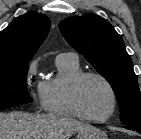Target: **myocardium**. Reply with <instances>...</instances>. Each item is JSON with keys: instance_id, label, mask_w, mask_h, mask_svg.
Listing matches in <instances>:
<instances>
[{"instance_id": "1", "label": "myocardium", "mask_w": 141, "mask_h": 139, "mask_svg": "<svg viewBox=\"0 0 141 139\" xmlns=\"http://www.w3.org/2000/svg\"><path fill=\"white\" fill-rule=\"evenodd\" d=\"M97 78L99 80H101L109 89L110 94H111V109L109 111V113L101 118H94V117H90L88 116L82 109L81 104H80V100H79V90H80V86L81 84L87 79V78ZM68 98H69V103L71 105V108L73 109V111L75 112V114L86 120L89 122H93V123H103L108 121L115 113L116 108H117V94L116 91L112 85V83L102 74L98 73V72H82L79 75H77L70 83L69 85V89H68Z\"/></svg>"}]
</instances>
